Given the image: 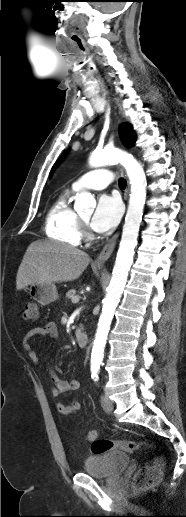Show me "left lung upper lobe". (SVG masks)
<instances>
[{
    "mask_svg": "<svg viewBox=\"0 0 186 517\" xmlns=\"http://www.w3.org/2000/svg\"><path fill=\"white\" fill-rule=\"evenodd\" d=\"M132 127L126 123L122 124L120 127V137L123 142V144L130 148L135 144L136 135L135 133H132ZM63 158V156L54 164L52 170L56 167V165L59 163V161ZM51 175V173H50Z\"/></svg>",
    "mask_w": 186,
    "mask_h": 517,
    "instance_id": "obj_1",
    "label": "left lung upper lobe"
}]
</instances>
